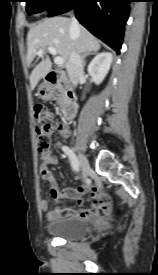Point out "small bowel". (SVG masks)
Returning a JSON list of instances; mask_svg holds the SVG:
<instances>
[{
    "label": "small bowel",
    "mask_w": 158,
    "mask_h": 275,
    "mask_svg": "<svg viewBox=\"0 0 158 275\" xmlns=\"http://www.w3.org/2000/svg\"><path fill=\"white\" fill-rule=\"evenodd\" d=\"M64 139L70 135L68 127L60 124L57 128ZM42 164L39 168L40 176L43 180L49 182L52 196L57 200H73L76 203L74 207H55L50 209V203L47 199L40 202L41 209L46 213L48 219L59 217H96L108 211V200L106 196L100 193L99 189L91 183L80 185L76 188L64 187L60 188L50 170V166L57 165L59 160L50 150L41 153ZM89 193L93 199L91 209H83L85 202L84 195Z\"/></svg>",
    "instance_id": "obj_1"
}]
</instances>
